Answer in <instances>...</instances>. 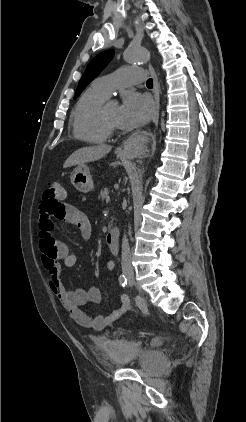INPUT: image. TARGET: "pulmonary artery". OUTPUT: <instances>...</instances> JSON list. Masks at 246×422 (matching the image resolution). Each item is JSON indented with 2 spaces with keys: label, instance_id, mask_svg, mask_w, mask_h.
I'll return each instance as SVG.
<instances>
[{
  "label": "pulmonary artery",
  "instance_id": "obj_1",
  "mask_svg": "<svg viewBox=\"0 0 246 422\" xmlns=\"http://www.w3.org/2000/svg\"><path fill=\"white\" fill-rule=\"evenodd\" d=\"M144 79V70L140 68L124 67L115 73L96 79L93 86L109 96L115 89L129 84L141 83Z\"/></svg>",
  "mask_w": 246,
  "mask_h": 422
}]
</instances>
